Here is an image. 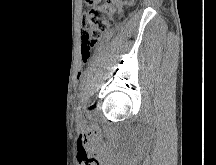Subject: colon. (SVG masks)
I'll use <instances>...</instances> for the list:
<instances>
[{"label": "colon", "instance_id": "5ec220e1", "mask_svg": "<svg viewBox=\"0 0 216 165\" xmlns=\"http://www.w3.org/2000/svg\"><path fill=\"white\" fill-rule=\"evenodd\" d=\"M132 3L133 0H85L88 11L81 29V53L84 60L89 58L93 46L110 27L115 16Z\"/></svg>", "mask_w": 216, "mask_h": 165}]
</instances>
